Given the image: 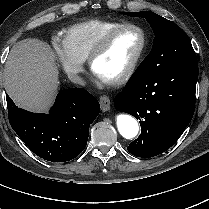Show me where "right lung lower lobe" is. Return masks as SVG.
<instances>
[{
	"instance_id": "right-lung-lower-lobe-1",
	"label": "right lung lower lobe",
	"mask_w": 209,
	"mask_h": 209,
	"mask_svg": "<svg viewBox=\"0 0 209 209\" xmlns=\"http://www.w3.org/2000/svg\"><path fill=\"white\" fill-rule=\"evenodd\" d=\"M6 99L12 129L33 153L51 162L69 161L84 150L100 112L97 99L83 88L60 90L48 114L28 112Z\"/></svg>"
}]
</instances>
